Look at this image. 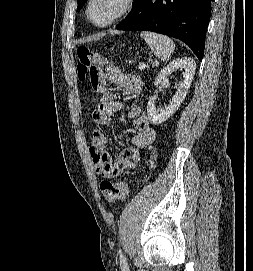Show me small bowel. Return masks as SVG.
<instances>
[{
  "label": "small bowel",
  "mask_w": 253,
  "mask_h": 271,
  "mask_svg": "<svg viewBox=\"0 0 253 271\" xmlns=\"http://www.w3.org/2000/svg\"><path fill=\"white\" fill-rule=\"evenodd\" d=\"M98 75L100 98L92 112V118L98 124L109 125L113 115L123 109V104L115 99V94L106 86V81L121 88L126 96L136 95L141 89L142 81L138 76L124 74L114 66H108L105 73L98 70ZM128 117L134 120L138 133L132 137L130 144L114 161L104 150L106 145L104 132L100 129L92 132L87 150L97 175L101 177L112 179L125 170L135 168L142 152L156 138V131L150 126L147 115L140 108H131Z\"/></svg>",
  "instance_id": "1"
}]
</instances>
